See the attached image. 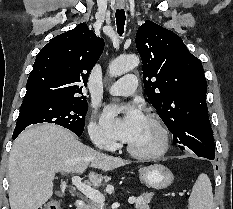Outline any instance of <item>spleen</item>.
<instances>
[{
    "mask_svg": "<svg viewBox=\"0 0 233 209\" xmlns=\"http://www.w3.org/2000/svg\"><path fill=\"white\" fill-rule=\"evenodd\" d=\"M213 193L209 177L200 174L189 198L188 209H213Z\"/></svg>",
    "mask_w": 233,
    "mask_h": 209,
    "instance_id": "1",
    "label": "spleen"
}]
</instances>
